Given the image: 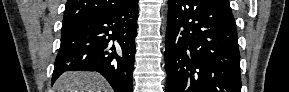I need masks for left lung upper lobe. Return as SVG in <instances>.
<instances>
[{
	"label": "left lung upper lobe",
	"mask_w": 289,
	"mask_h": 92,
	"mask_svg": "<svg viewBox=\"0 0 289 92\" xmlns=\"http://www.w3.org/2000/svg\"><path fill=\"white\" fill-rule=\"evenodd\" d=\"M220 1H222V2H224V3L229 5V0H220Z\"/></svg>",
	"instance_id": "5c2ea615"
}]
</instances>
